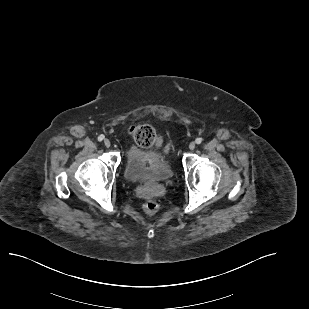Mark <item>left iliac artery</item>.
<instances>
[{"label": "left iliac artery", "instance_id": "left-iliac-artery-1", "mask_svg": "<svg viewBox=\"0 0 309 309\" xmlns=\"http://www.w3.org/2000/svg\"><path fill=\"white\" fill-rule=\"evenodd\" d=\"M195 142L196 144H200L202 142V138H196Z\"/></svg>", "mask_w": 309, "mask_h": 309}]
</instances>
